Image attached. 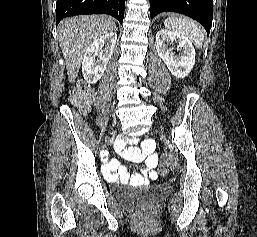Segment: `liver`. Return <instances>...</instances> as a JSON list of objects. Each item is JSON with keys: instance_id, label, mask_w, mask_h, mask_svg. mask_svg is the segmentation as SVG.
I'll list each match as a JSON object with an SVG mask.
<instances>
[{"instance_id": "1", "label": "liver", "mask_w": 257, "mask_h": 237, "mask_svg": "<svg viewBox=\"0 0 257 237\" xmlns=\"http://www.w3.org/2000/svg\"><path fill=\"white\" fill-rule=\"evenodd\" d=\"M115 30L114 20L103 15L71 17L60 23L58 36L70 83L75 81L84 54L90 44Z\"/></svg>"}]
</instances>
